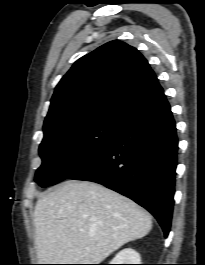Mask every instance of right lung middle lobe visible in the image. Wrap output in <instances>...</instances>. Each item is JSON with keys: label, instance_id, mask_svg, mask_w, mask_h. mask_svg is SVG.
Wrapping results in <instances>:
<instances>
[{"label": "right lung middle lobe", "instance_id": "dd1d6c3e", "mask_svg": "<svg viewBox=\"0 0 205 265\" xmlns=\"http://www.w3.org/2000/svg\"><path fill=\"white\" fill-rule=\"evenodd\" d=\"M121 124L97 122L64 132H44L39 147L42 165L35 181L54 185L86 166L115 137Z\"/></svg>", "mask_w": 205, "mask_h": 265}]
</instances>
